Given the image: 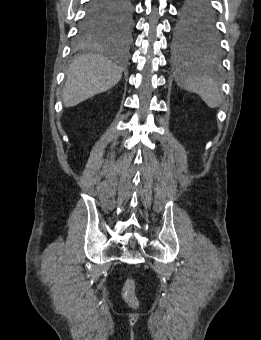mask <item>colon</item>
<instances>
[{
  "instance_id": "colon-1",
  "label": "colon",
  "mask_w": 261,
  "mask_h": 340,
  "mask_svg": "<svg viewBox=\"0 0 261 340\" xmlns=\"http://www.w3.org/2000/svg\"><path fill=\"white\" fill-rule=\"evenodd\" d=\"M122 296L129 306L133 308H136L138 306V299L135 293V282L133 279L128 278L125 280L122 289Z\"/></svg>"
}]
</instances>
